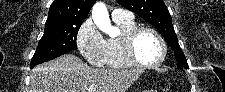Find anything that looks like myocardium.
<instances>
[{
	"label": "myocardium",
	"mask_w": 225,
	"mask_h": 92,
	"mask_svg": "<svg viewBox=\"0 0 225 92\" xmlns=\"http://www.w3.org/2000/svg\"><path fill=\"white\" fill-rule=\"evenodd\" d=\"M143 31L152 33L160 43L162 54L160 59L156 61L155 63H151V64L143 63L138 59L135 53V50H134L135 40L137 36ZM120 46H121V51H122L124 60L130 66L135 68H141V69L157 68L164 63L167 57V45L164 38L157 30L149 26H135L129 31H127L121 39Z\"/></svg>",
	"instance_id": "f54148a6"
}]
</instances>
